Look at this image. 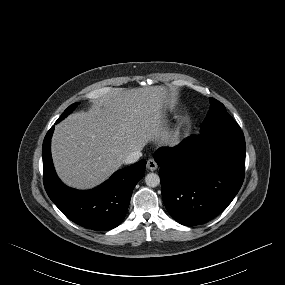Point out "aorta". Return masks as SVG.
<instances>
[{
  "instance_id": "762f6f07",
  "label": "aorta",
  "mask_w": 285,
  "mask_h": 285,
  "mask_svg": "<svg viewBox=\"0 0 285 285\" xmlns=\"http://www.w3.org/2000/svg\"><path fill=\"white\" fill-rule=\"evenodd\" d=\"M145 183L149 187H157L160 184V178L156 173H149L145 176Z\"/></svg>"
}]
</instances>
